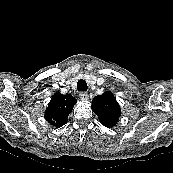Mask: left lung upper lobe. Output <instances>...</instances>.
I'll use <instances>...</instances> for the list:
<instances>
[{
	"label": "left lung upper lobe",
	"mask_w": 173,
	"mask_h": 173,
	"mask_svg": "<svg viewBox=\"0 0 173 173\" xmlns=\"http://www.w3.org/2000/svg\"><path fill=\"white\" fill-rule=\"evenodd\" d=\"M91 107L101 124L107 128L115 126L121 115L120 106L114 95L109 91L96 96Z\"/></svg>",
	"instance_id": "left-lung-upper-lobe-1"
}]
</instances>
